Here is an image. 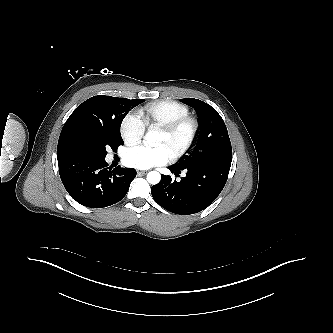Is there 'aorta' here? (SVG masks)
Segmentation results:
<instances>
[{
  "mask_svg": "<svg viewBox=\"0 0 333 333\" xmlns=\"http://www.w3.org/2000/svg\"><path fill=\"white\" fill-rule=\"evenodd\" d=\"M160 136L161 133L159 131L151 130L146 133L144 139L146 144L152 146L159 141ZM160 180H161V175L157 171H150L147 174V181L152 185L158 184Z\"/></svg>",
  "mask_w": 333,
  "mask_h": 333,
  "instance_id": "1",
  "label": "aorta"
}]
</instances>
